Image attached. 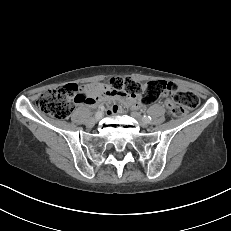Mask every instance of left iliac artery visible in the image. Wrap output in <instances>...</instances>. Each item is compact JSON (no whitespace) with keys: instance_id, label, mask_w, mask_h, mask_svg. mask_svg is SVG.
I'll use <instances>...</instances> for the list:
<instances>
[{"instance_id":"1","label":"left iliac artery","mask_w":231,"mask_h":231,"mask_svg":"<svg viewBox=\"0 0 231 231\" xmlns=\"http://www.w3.org/2000/svg\"><path fill=\"white\" fill-rule=\"evenodd\" d=\"M144 120L147 121V122H150L151 121V117L148 116V115H144Z\"/></svg>"}]
</instances>
